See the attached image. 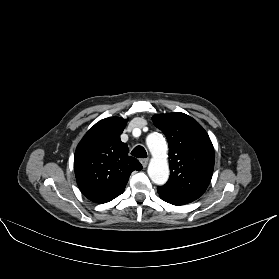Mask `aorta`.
Masks as SVG:
<instances>
[{
    "label": "aorta",
    "instance_id": "1",
    "mask_svg": "<svg viewBox=\"0 0 279 279\" xmlns=\"http://www.w3.org/2000/svg\"><path fill=\"white\" fill-rule=\"evenodd\" d=\"M146 143L152 154L148 175L155 184L163 185L169 178L166 141L161 134L154 132L147 136Z\"/></svg>",
    "mask_w": 279,
    "mask_h": 279
}]
</instances>
